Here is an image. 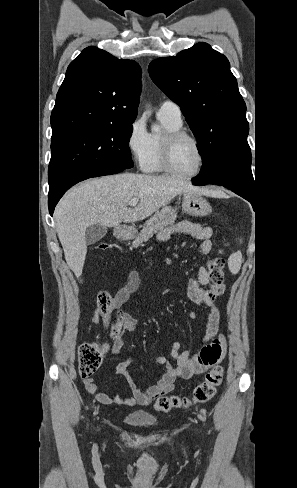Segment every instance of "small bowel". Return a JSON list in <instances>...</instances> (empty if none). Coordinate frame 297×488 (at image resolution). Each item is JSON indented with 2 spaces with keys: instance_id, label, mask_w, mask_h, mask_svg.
<instances>
[{
  "instance_id": "1",
  "label": "small bowel",
  "mask_w": 297,
  "mask_h": 488,
  "mask_svg": "<svg viewBox=\"0 0 297 488\" xmlns=\"http://www.w3.org/2000/svg\"><path fill=\"white\" fill-rule=\"evenodd\" d=\"M183 233L191 236L199 242L198 250L201 254L211 251L212 229L190 221H182L162 229L157 234V241H167L173 234ZM142 281L137 272L130 273L127 282L117 291L113 297V309H120L140 287ZM187 292L189 299L199 305L208 308L204 345L195 354L189 351H180V344H171L169 358L156 356L154 362L162 365L164 370L158 382L146 389L136 384L130 375L129 367L133 362V356L128 355L115 367V373L125 377L131 390V396L108 395L99 391V387L93 377L83 379L86 390L102 404H118L125 406L148 405L153 400L171 392L178 378L190 379L201 375L218 363L224 351L225 341L219 335L220 313L218 299L224 292V286L214 284L205 267H201L196 277L188 279ZM94 323L108 322V317L98 312L93 317ZM122 329L114 341L113 353L118 355L121 351L124 338L137 327V320L128 313L121 316Z\"/></svg>"
}]
</instances>
